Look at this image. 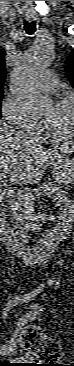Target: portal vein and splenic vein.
I'll list each match as a JSON object with an SVG mask.
<instances>
[{
    "label": "portal vein and splenic vein",
    "instance_id": "obj_1",
    "mask_svg": "<svg viewBox=\"0 0 74 366\" xmlns=\"http://www.w3.org/2000/svg\"><path fill=\"white\" fill-rule=\"evenodd\" d=\"M3 191L8 197H20L23 200H29L28 195L23 194L22 191H14V190L9 189V188L4 189Z\"/></svg>",
    "mask_w": 74,
    "mask_h": 366
}]
</instances>
